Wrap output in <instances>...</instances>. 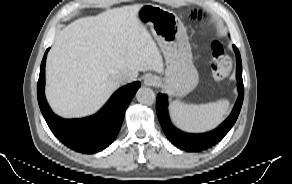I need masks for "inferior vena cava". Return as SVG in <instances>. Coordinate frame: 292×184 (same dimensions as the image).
I'll return each mask as SVG.
<instances>
[{
    "instance_id": "602c4592",
    "label": "inferior vena cava",
    "mask_w": 292,
    "mask_h": 184,
    "mask_svg": "<svg viewBox=\"0 0 292 184\" xmlns=\"http://www.w3.org/2000/svg\"><path fill=\"white\" fill-rule=\"evenodd\" d=\"M117 82L119 84H125L127 82H131V78H129L127 76H120V77H118Z\"/></svg>"
}]
</instances>
